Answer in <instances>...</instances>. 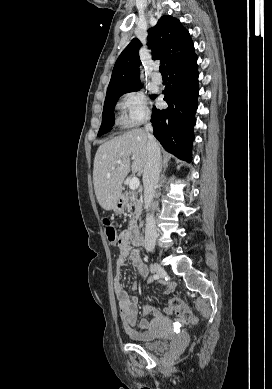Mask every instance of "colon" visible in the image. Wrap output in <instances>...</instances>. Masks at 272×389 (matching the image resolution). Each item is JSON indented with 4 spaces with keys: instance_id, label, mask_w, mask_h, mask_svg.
Returning a JSON list of instances; mask_svg holds the SVG:
<instances>
[{
    "instance_id": "obj_1",
    "label": "colon",
    "mask_w": 272,
    "mask_h": 389,
    "mask_svg": "<svg viewBox=\"0 0 272 389\" xmlns=\"http://www.w3.org/2000/svg\"><path fill=\"white\" fill-rule=\"evenodd\" d=\"M105 235L111 245H115L118 242L116 229L109 221L105 222ZM169 311L174 313L185 324L191 325L198 322L195 314L181 298L173 297L170 299Z\"/></svg>"
}]
</instances>
